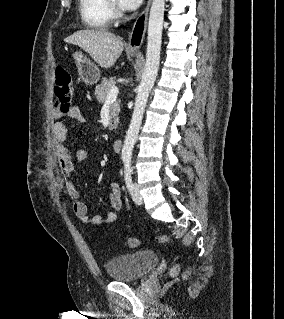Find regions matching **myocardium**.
<instances>
[{
  "label": "myocardium",
  "instance_id": "1",
  "mask_svg": "<svg viewBox=\"0 0 284 319\" xmlns=\"http://www.w3.org/2000/svg\"><path fill=\"white\" fill-rule=\"evenodd\" d=\"M108 1H109V4H110L111 8L115 9V2H114V0H108ZM116 14L119 15V12H118L117 10H116Z\"/></svg>",
  "mask_w": 284,
  "mask_h": 319
}]
</instances>
